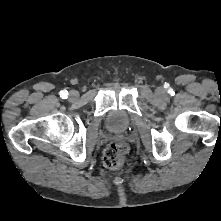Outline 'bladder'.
Masks as SVG:
<instances>
[{
    "mask_svg": "<svg viewBox=\"0 0 221 221\" xmlns=\"http://www.w3.org/2000/svg\"><path fill=\"white\" fill-rule=\"evenodd\" d=\"M105 125L111 131H123L130 125V117L123 110H111L105 118Z\"/></svg>",
    "mask_w": 221,
    "mask_h": 221,
    "instance_id": "1",
    "label": "bladder"
}]
</instances>
